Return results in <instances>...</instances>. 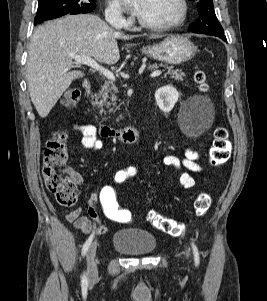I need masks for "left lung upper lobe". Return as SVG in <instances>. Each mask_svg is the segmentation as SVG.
<instances>
[{
	"label": "left lung upper lobe",
	"mask_w": 267,
	"mask_h": 301,
	"mask_svg": "<svg viewBox=\"0 0 267 301\" xmlns=\"http://www.w3.org/2000/svg\"><path fill=\"white\" fill-rule=\"evenodd\" d=\"M198 7L199 19L190 27L193 33L224 35L223 28L216 17L213 0H194Z\"/></svg>",
	"instance_id": "left-lung-upper-lobe-1"
}]
</instances>
